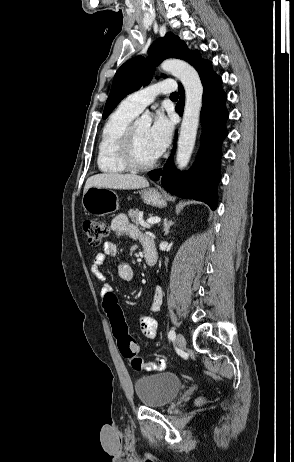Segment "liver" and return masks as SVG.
Here are the masks:
<instances>
[{
  "label": "liver",
  "instance_id": "1",
  "mask_svg": "<svg viewBox=\"0 0 294 462\" xmlns=\"http://www.w3.org/2000/svg\"><path fill=\"white\" fill-rule=\"evenodd\" d=\"M149 186L145 177L134 174L102 173L89 177L85 183L84 193L90 187L111 189H138Z\"/></svg>",
  "mask_w": 294,
  "mask_h": 462
}]
</instances>
